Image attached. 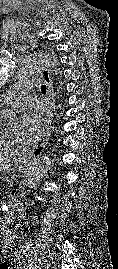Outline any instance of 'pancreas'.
<instances>
[{"mask_svg": "<svg viewBox=\"0 0 118 269\" xmlns=\"http://www.w3.org/2000/svg\"><path fill=\"white\" fill-rule=\"evenodd\" d=\"M4 191H7V188H4Z\"/></svg>", "mask_w": 118, "mask_h": 269, "instance_id": "pancreas-1", "label": "pancreas"}]
</instances>
